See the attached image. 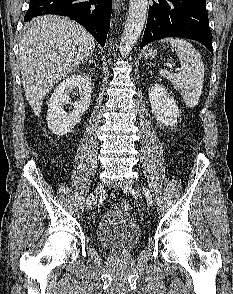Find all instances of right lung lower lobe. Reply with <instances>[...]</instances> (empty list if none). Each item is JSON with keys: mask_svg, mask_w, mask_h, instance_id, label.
I'll return each instance as SVG.
<instances>
[{"mask_svg": "<svg viewBox=\"0 0 233 294\" xmlns=\"http://www.w3.org/2000/svg\"><path fill=\"white\" fill-rule=\"evenodd\" d=\"M111 12L112 0H30L24 21L44 14L67 16L84 26L104 46Z\"/></svg>", "mask_w": 233, "mask_h": 294, "instance_id": "98d812e1", "label": "right lung lower lobe"}]
</instances>
